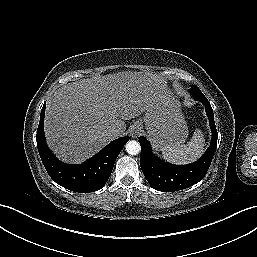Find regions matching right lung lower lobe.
Masks as SVG:
<instances>
[{
  "label": "right lung lower lobe",
  "mask_w": 257,
  "mask_h": 257,
  "mask_svg": "<svg viewBox=\"0 0 257 257\" xmlns=\"http://www.w3.org/2000/svg\"><path fill=\"white\" fill-rule=\"evenodd\" d=\"M45 103L37 129V147L49 176L62 187L79 193L95 192L104 187L112 172L115 160L129 141V136L119 138L105 146L95 156L80 165H66L50 151L44 136Z\"/></svg>",
  "instance_id": "98d812e1"
}]
</instances>
